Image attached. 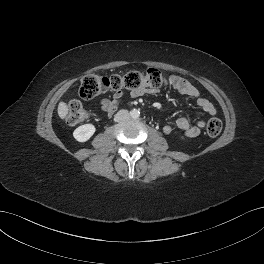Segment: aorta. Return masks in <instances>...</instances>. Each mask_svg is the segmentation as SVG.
Listing matches in <instances>:
<instances>
[{
	"label": "aorta",
	"instance_id": "obj_1",
	"mask_svg": "<svg viewBox=\"0 0 264 264\" xmlns=\"http://www.w3.org/2000/svg\"><path fill=\"white\" fill-rule=\"evenodd\" d=\"M130 116H131V118H133V119H138L139 116H140V111L137 110V109H133V110H131V112H130Z\"/></svg>",
	"mask_w": 264,
	"mask_h": 264
}]
</instances>
